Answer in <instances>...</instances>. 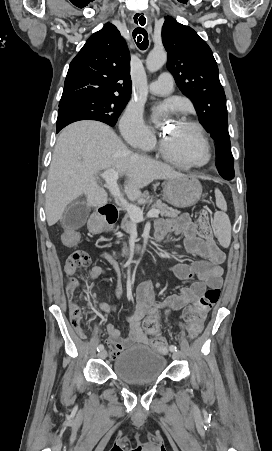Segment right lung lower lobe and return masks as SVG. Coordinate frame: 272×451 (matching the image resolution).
Wrapping results in <instances>:
<instances>
[{"label":"right lung lower lobe","instance_id":"right-lung-lower-lobe-1","mask_svg":"<svg viewBox=\"0 0 272 451\" xmlns=\"http://www.w3.org/2000/svg\"><path fill=\"white\" fill-rule=\"evenodd\" d=\"M61 129H57V132H59Z\"/></svg>","mask_w":272,"mask_h":451}]
</instances>
